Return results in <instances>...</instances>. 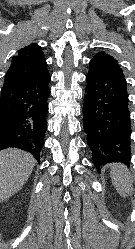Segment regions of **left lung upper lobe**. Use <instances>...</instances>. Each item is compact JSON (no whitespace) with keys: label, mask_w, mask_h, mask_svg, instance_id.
I'll list each match as a JSON object with an SVG mask.
<instances>
[{"label":"left lung upper lobe","mask_w":135,"mask_h":249,"mask_svg":"<svg viewBox=\"0 0 135 249\" xmlns=\"http://www.w3.org/2000/svg\"><path fill=\"white\" fill-rule=\"evenodd\" d=\"M90 63L97 64L101 66L102 68L117 74L124 76L123 71L118 64V61L114 59L111 55H108L107 53L104 52H98L90 61Z\"/></svg>","instance_id":"5c2ea615"}]
</instances>
